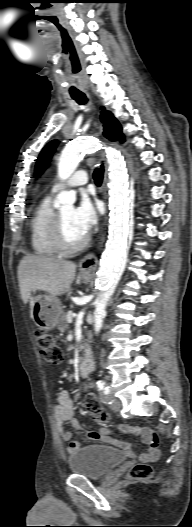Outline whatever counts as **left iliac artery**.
Segmentation results:
<instances>
[{"mask_svg":"<svg viewBox=\"0 0 192 527\" xmlns=\"http://www.w3.org/2000/svg\"><path fill=\"white\" fill-rule=\"evenodd\" d=\"M97 387H98V390L100 392H103L105 395H108L110 392V387L104 381H99L97 383Z\"/></svg>","mask_w":192,"mask_h":527,"instance_id":"44dca946","label":"left iliac artery"}]
</instances>
